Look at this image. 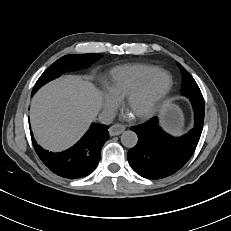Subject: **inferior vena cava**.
Returning <instances> with one entry per match:
<instances>
[{
    "mask_svg": "<svg viewBox=\"0 0 231 231\" xmlns=\"http://www.w3.org/2000/svg\"><path fill=\"white\" fill-rule=\"evenodd\" d=\"M115 117V113L113 111H103L99 114V121L103 124H110Z\"/></svg>",
    "mask_w": 231,
    "mask_h": 231,
    "instance_id": "1",
    "label": "inferior vena cava"
}]
</instances>
